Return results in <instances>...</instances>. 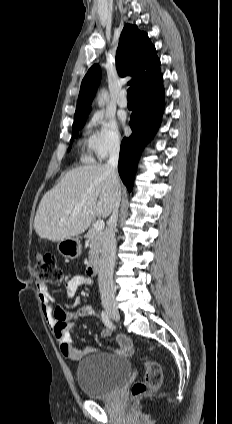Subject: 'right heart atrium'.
Returning a JSON list of instances; mask_svg holds the SVG:
<instances>
[{
	"mask_svg": "<svg viewBox=\"0 0 232 424\" xmlns=\"http://www.w3.org/2000/svg\"><path fill=\"white\" fill-rule=\"evenodd\" d=\"M93 132L90 150L100 159L117 152L121 147V135L117 124L102 113H96L92 119Z\"/></svg>",
	"mask_w": 232,
	"mask_h": 424,
	"instance_id": "right-heart-atrium-1",
	"label": "right heart atrium"
}]
</instances>
